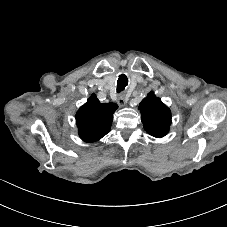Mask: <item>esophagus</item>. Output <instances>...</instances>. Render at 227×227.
I'll return each mask as SVG.
<instances>
[{
  "label": "esophagus",
  "mask_w": 227,
  "mask_h": 227,
  "mask_svg": "<svg viewBox=\"0 0 227 227\" xmlns=\"http://www.w3.org/2000/svg\"><path fill=\"white\" fill-rule=\"evenodd\" d=\"M126 102H127V100L124 98V96H118L117 103L120 106H125Z\"/></svg>",
  "instance_id": "34e87169"
}]
</instances>
